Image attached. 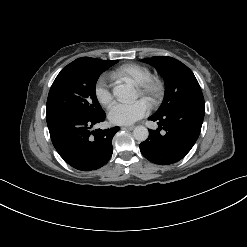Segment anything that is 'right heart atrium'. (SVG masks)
I'll list each match as a JSON object with an SVG mask.
<instances>
[{"instance_id": "d8ad5b80", "label": "right heart atrium", "mask_w": 247, "mask_h": 247, "mask_svg": "<svg viewBox=\"0 0 247 247\" xmlns=\"http://www.w3.org/2000/svg\"><path fill=\"white\" fill-rule=\"evenodd\" d=\"M94 94L98 102L103 106H108L113 100V94L108 85V77L101 76L95 83Z\"/></svg>"}]
</instances>
